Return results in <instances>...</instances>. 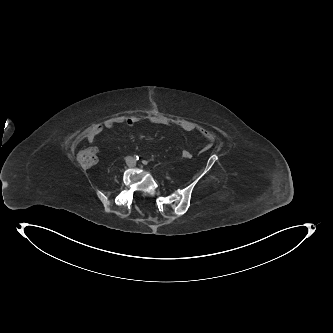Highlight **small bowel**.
I'll return each instance as SVG.
<instances>
[{"label":"small bowel","mask_w":333,"mask_h":333,"mask_svg":"<svg viewBox=\"0 0 333 333\" xmlns=\"http://www.w3.org/2000/svg\"><path fill=\"white\" fill-rule=\"evenodd\" d=\"M150 121L152 123L158 124V125H170L171 121L165 118H158L153 117L150 118ZM139 118L135 116L127 117L125 119L122 118H114V119H107L101 124H97L96 126L92 127L85 135V139L89 143H93L96 138L105 130V129H111L117 124H126L127 126L133 127L136 124H138ZM182 130L187 132L196 131L198 132L206 141L205 146L203 147L202 151L208 150L214 141L213 135L208 132L205 128L202 126L188 121V120H178L175 122ZM96 150V148H93Z\"/></svg>","instance_id":"1"}]
</instances>
